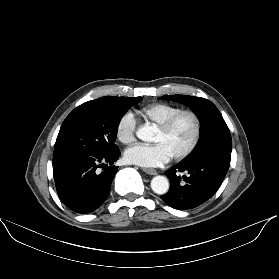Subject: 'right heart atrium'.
<instances>
[{"label":"right heart atrium","mask_w":279,"mask_h":279,"mask_svg":"<svg viewBox=\"0 0 279 279\" xmlns=\"http://www.w3.org/2000/svg\"><path fill=\"white\" fill-rule=\"evenodd\" d=\"M137 122L131 112L123 113L116 124V137L123 144L135 141Z\"/></svg>","instance_id":"d8ad5b80"}]
</instances>
